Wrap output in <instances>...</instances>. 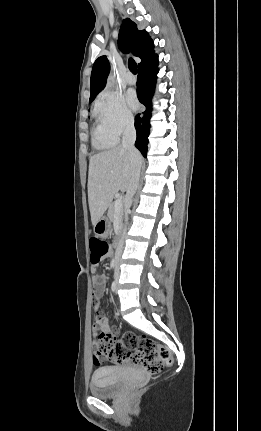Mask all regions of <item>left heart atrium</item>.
Wrapping results in <instances>:
<instances>
[{"instance_id": "39dd6f15", "label": "left heart atrium", "mask_w": 261, "mask_h": 431, "mask_svg": "<svg viewBox=\"0 0 261 431\" xmlns=\"http://www.w3.org/2000/svg\"><path fill=\"white\" fill-rule=\"evenodd\" d=\"M126 101L131 110H136L139 106L136 94L133 91L126 94Z\"/></svg>"}]
</instances>
